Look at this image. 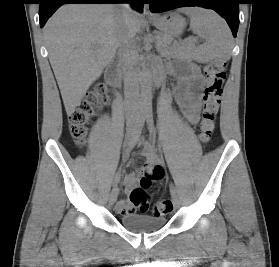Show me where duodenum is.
I'll return each mask as SVG.
<instances>
[{
  "instance_id": "duodenum-1",
  "label": "duodenum",
  "mask_w": 279,
  "mask_h": 267,
  "mask_svg": "<svg viewBox=\"0 0 279 267\" xmlns=\"http://www.w3.org/2000/svg\"><path fill=\"white\" fill-rule=\"evenodd\" d=\"M107 79L109 80V82H111L115 86L121 87L122 77H121V73H120V69H119L118 65L114 64L109 68L108 73H107ZM151 79L156 80L157 76H154Z\"/></svg>"
}]
</instances>
